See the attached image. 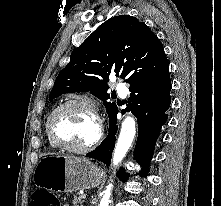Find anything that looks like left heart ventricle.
I'll use <instances>...</instances> for the list:
<instances>
[{
    "instance_id": "b2bd125f",
    "label": "left heart ventricle",
    "mask_w": 221,
    "mask_h": 206,
    "mask_svg": "<svg viewBox=\"0 0 221 206\" xmlns=\"http://www.w3.org/2000/svg\"><path fill=\"white\" fill-rule=\"evenodd\" d=\"M52 129L60 142L73 147H83L94 139L96 122L87 108L72 105L55 116Z\"/></svg>"
}]
</instances>
